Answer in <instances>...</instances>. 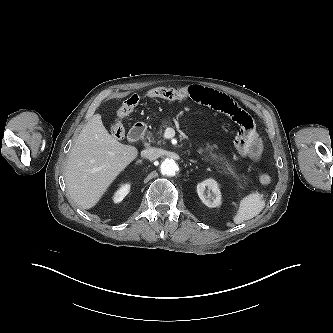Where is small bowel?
I'll use <instances>...</instances> for the list:
<instances>
[{
	"label": "small bowel",
	"instance_id": "small-bowel-1",
	"mask_svg": "<svg viewBox=\"0 0 333 333\" xmlns=\"http://www.w3.org/2000/svg\"><path fill=\"white\" fill-rule=\"evenodd\" d=\"M185 89L190 93V99L226 114L240 126L234 141L240 155L252 160L260 157L262 142L256 132L254 121L230 96L201 85H190Z\"/></svg>",
	"mask_w": 333,
	"mask_h": 333
}]
</instances>
